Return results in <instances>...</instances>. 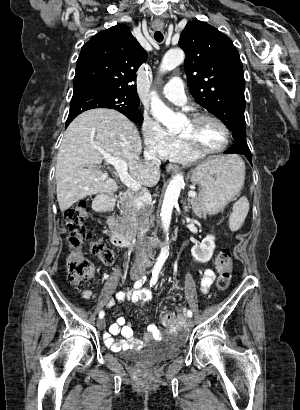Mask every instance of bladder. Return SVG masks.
I'll use <instances>...</instances> for the list:
<instances>
[{"label": "bladder", "instance_id": "1", "mask_svg": "<svg viewBox=\"0 0 300 410\" xmlns=\"http://www.w3.org/2000/svg\"><path fill=\"white\" fill-rule=\"evenodd\" d=\"M181 350V345L167 341L147 346L141 350L124 352L123 354L126 359L137 365L149 366L173 358L179 355Z\"/></svg>", "mask_w": 300, "mask_h": 410}]
</instances>
